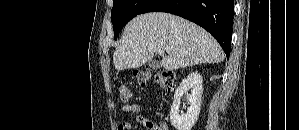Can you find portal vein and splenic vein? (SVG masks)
I'll use <instances>...</instances> for the list:
<instances>
[{"label": "portal vein and splenic vein", "instance_id": "obj_1", "mask_svg": "<svg viewBox=\"0 0 299 130\" xmlns=\"http://www.w3.org/2000/svg\"><path fill=\"white\" fill-rule=\"evenodd\" d=\"M157 53H158L159 55H163V54H164V50L159 49V50L157 51Z\"/></svg>", "mask_w": 299, "mask_h": 130}]
</instances>
